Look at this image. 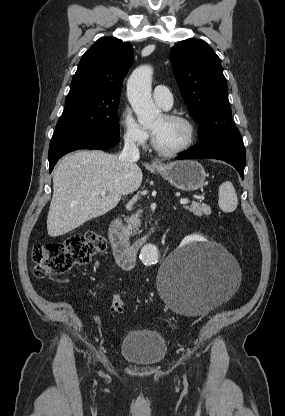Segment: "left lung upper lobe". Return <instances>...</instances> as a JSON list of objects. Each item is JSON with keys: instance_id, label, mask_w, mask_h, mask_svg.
<instances>
[{"instance_id": "obj_1", "label": "left lung upper lobe", "mask_w": 285, "mask_h": 416, "mask_svg": "<svg viewBox=\"0 0 285 416\" xmlns=\"http://www.w3.org/2000/svg\"><path fill=\"white\" fill-rule=\"evenodd\" d=\"M170 60L189 113L200 124V141L237 130L231 120L226 79L213 49L202 40L187 39L171 49Z\"/></svg>"}]
</instances>
